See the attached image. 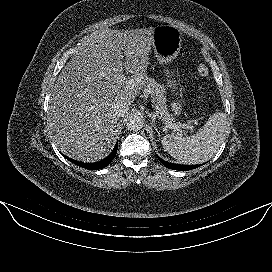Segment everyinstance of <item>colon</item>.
I'll return each instance as SVG.
<instances>
[{
	"instance_id": "obj_1",
	"label": "colon",
	"mask_w": 272,
	"mask_h": 272,
	"mask_svg": "<svg viewBox=\"0 0 272 272\" xmlns=\"http://www.w3.org/2000/svg\"><path fill=\"white\" fill-rule=\"evenodd\" d=\"M198 72L202 76L208 75V68L204 64L198 65ZM204 95H201L197 98V100L203 99ZM193 101H196V99L192 100L189 98H180L176 101H174L171 104V113L172 115L177 119H187L191 117V114L186 112V107Z\"/></svg>"
}]
</instances>
